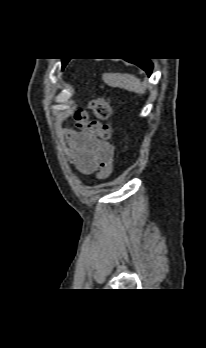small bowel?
<instances>
[{
  "label": "small bowel",
  "instance_id": "small-bowel-1",
  "mask_svg": "<svg viewBox=\"0 0 206 348\" xmlns=\"http://www.w3.org/2000/svg\"><path fill=\"white\" fill-rule=\"evenodd\" d=\"M66 136L70 143L68 155L80 172L95 173L102 179L111 174L114 159L111 143L72 130H67Z\"/></svg>",
  "mask_w": 206,
  "mask_h": 348
}]
</instances>
